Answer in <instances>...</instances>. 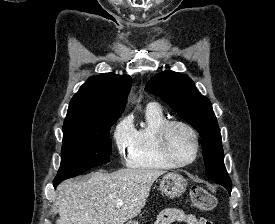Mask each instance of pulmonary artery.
I'll return each instance as SVG.
<instances>
[{
    "label": "pulmonary artery",
    "instance_id": "pulmonary-artery-1",
    "mask_svg": "<svg viewBox=\"0 0 275 224\" xmlns=\"http://www.w3.org/2000/svg\"><path fill=\"white\" fill-rule=\"evenodd\" d=\"M148 106H158L156 103L152 102V103H149Z\"/></svg>",
    "mask_w": 275,
    "mask_h": 224
}]
</instances>
